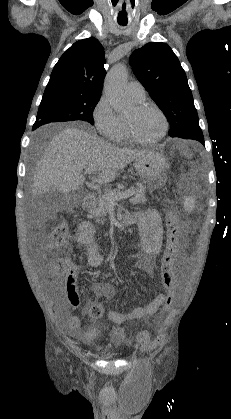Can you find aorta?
I'll use <instances>...</instances> for the list:
<instances>
[{
	"instance_id": "aorta-1",
	"label": "aorta",
	"mask_w": 231,
	"mask_h": 419,
	"mask_svg": "<svg viewBox=\"0 0 231 419\" xmlns=\"http://www.w3.org/2000/svg\"><path fill=\"white\" fill-rule=\"evenodd\" d=\"M127 69L123 64H118L107 74L104 90L112 107L118 111H124L129 106L126 91Z\"/></svg>"
}]
</instances>
